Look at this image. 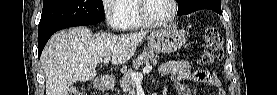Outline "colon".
<instances>
[{
  "mask_svg": "<svg viewBox=\"0 0 277 95\" xmlns=\"http://www.w3.org/2000/svg\"><path fill=\"white\" fill-rule=\"evenodd\" d=\"M204 51L199 58L202 66H211L223 56V37L216 28H207L204 31ZM69 95H85L82 88H71Z\"/></svg>",
  "mask_w": 277,
  "mask_h": 95,
  "instance_id": "1",
  "label": "colon"
}]
</instances>
